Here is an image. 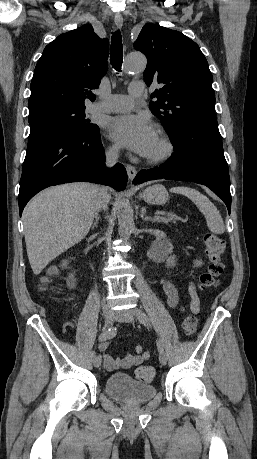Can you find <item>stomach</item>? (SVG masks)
<instances>
[{"instance_id":"0dacf381","label":"stomach","mask_w":257,"mask_h":459,"mask_svg":"<svg viewBox=\"0 0 257 459\" xmlns=\"http://www.w3.org/2000/svg\"><path fill=\"white\" fill-rule=\"evenodd\" d=\"M140 197L148 204L161 205L168 200V192L161 184H155L147 187Z\"/></svg>"}]
</instances>
